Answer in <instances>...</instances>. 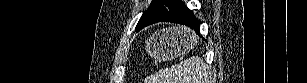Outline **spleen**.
I'll return each mask as SVG.
<instances>
[{
	"instance_id": "1",
	"label": "spleen",
	"mask_w": 307,
	"mask_h": 83,
	"mask_svg": "<svg viewBox=\"0 0 307 83\" xmlns=\"http://www.w3.org/2000/svg\"><path fill=\"white\" fill-rule=\"evenodd\" d=\"M207 69L200 57L193 56L170 68L160 69L145 83H210Z\"/></svg>"
}]
</instances>
